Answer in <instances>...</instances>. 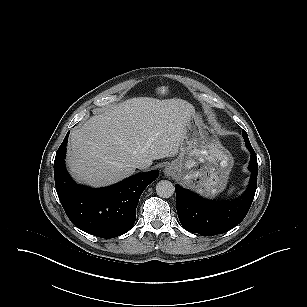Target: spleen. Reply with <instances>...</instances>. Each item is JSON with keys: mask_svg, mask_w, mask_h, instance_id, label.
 <instances>
[{"mask_svg": "<svg viewBox=\"0 0 307 307\" xmlns=\"http://www.w3.org/2000/svg\"><path fill=\"white\" fill-rule=\"evenodd\" d=\"M234 188L232 187L229 191V194H231L233 192Z\"/></svg>", "mask_w": 307, "mask_h": 307, "instance_id": "obj_1", "label": "spleen"}]
</instances>
